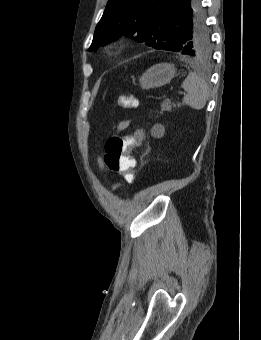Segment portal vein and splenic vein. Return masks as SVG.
Here are the masks:
<instances>
[{
	"label": "portal vein and splenic vein",
	"instance_id": "18ae733b",
	"mask_svg": "<svg viewBox=\"0 0 261 340\" xmlns=\"http://www.w3.org/2000/svg\"><path fill=\"white\" fill-rule=\"evenodd\" d=\"M178 95H179V96L185 95V92H179Z\"/></svg>",
	"mask_w": 261,
	"mask_h": 340
}]
</instances>
